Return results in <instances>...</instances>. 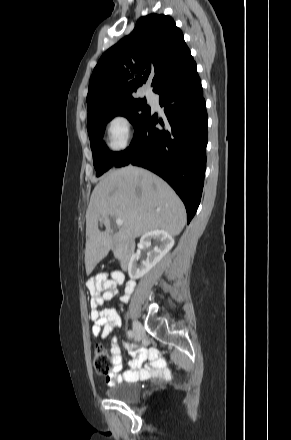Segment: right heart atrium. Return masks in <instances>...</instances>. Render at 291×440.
Masks as SVG:
<instances>
[{"instance_id": "1", "label": "right heart atrium", "mask_w": 291, "mask_h": 440, "mask_svg": "<svg viewBox=\"0 0 291 440\" xmlns=\"http://www.w3.org/2000/svg\"><path fill=\"white\" fill-rule=\"evenodd\" d=\"M105 133L108 146L114 151H122L131 139L130 122L123 115H115L107 121Z\"/></svg>"}]
</instances>
